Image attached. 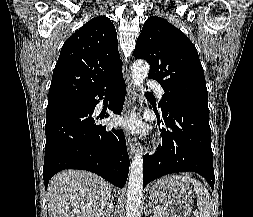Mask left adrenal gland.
Returning <instances> with one entry per match:
<instances>
[{
	"label": "left adrenal gland",
	"instance_id": "1",
	"mask_svg": "<svg viewBox=\"0 0 253 217\" xmlns=\"http://www.w3.org/2000/svg\"><path fill=\"white\" fill-rule=\"evenodd\" d=\"M148 208H149L150 217H154L155 213H154V210H153V208H154L153 200H151V202H149Z\"/></svg>",
	"mask_w": 253,
	"mask_h": 217
}]
</instances>
